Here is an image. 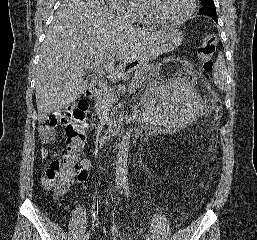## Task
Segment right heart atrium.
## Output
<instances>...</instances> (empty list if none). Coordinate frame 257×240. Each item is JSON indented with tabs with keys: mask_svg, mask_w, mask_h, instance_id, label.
Masks as SVG:
<instances>
[{
	"mask_svg": "<svg viewBox=\"0 0 257 240\" xmlns=\"http://www.w3.org/2000/svg\"><path fill=\"white\" fill-rule=\"evenodd\" d=\"M134 0H112L113 9L128 21H135L137 12L132 2Z\"/></svg>",
	"mask_w": 257,
	"mask_h": 240,
	"instance_id": "d8ad5b80",
	"label": "right heart atrium"
}]
</instances>
